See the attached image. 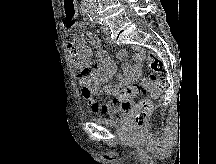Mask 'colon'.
Listing matches in <instances>:
<instances>
[{"label": "colon", "instance_id": "1", "mask_svg": "<svg viewBox=\"0 0 216 164\" xmlns=\"http://www.w3.org/2000/svg\"><path fill=\"white\" fill-rule=\"evenodd\" d=\"M148 66L151 73L143 77L139 82L131 84L123 88L119 94V99L128 102L132 99L151 94L153 97L159 95L166 86L165 79L158 77L163 72L162 61L153 53L147 55ZM152 111V101L143 98L139 101L138 107L132 116V125L140 128L143 127Z\"/></svg>", "mask_w": 216, "mask_h": 164}]
</instances>
